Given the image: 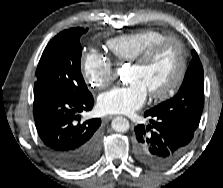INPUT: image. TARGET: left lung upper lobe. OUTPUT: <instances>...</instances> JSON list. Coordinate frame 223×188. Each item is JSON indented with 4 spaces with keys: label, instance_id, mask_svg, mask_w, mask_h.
I'll return each mask as SVG.
<instances>
[{
    "label": "left lung upper lobe",
    "instance_id": "left-lung-upper-lobe-1",
    "mask_svg": "<svg viewBox=\"0 0 223 188\" xmlns=\"http://www.w3.org/2000/svg\"><path fill=\"white\" fill-rule=\"evenodd\" d=\"M192 55L193 59L178 93L148 111L195 131L204 106V75L202 64L195 50H192Z\"/></svg>",
    "mask_w": 223,
    "mask_h": 188
}]
</instances>
